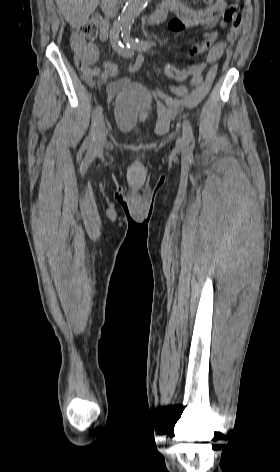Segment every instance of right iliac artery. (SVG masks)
Instances as JSON below:
<instances>
[{
  "instance_id": "right-iliac-artery-1",
  "label": "right iliac artery",
  "mask_w": 280,
  "mask_h": 472,
  "mask_svg": "<svg viewBox=\"0 0 280 472\" xmlns=\"http://www.w3.org/2000/svg\"><path fill=\"white\" fill-rule=\"evenodd\" d=\"M120 29H122V27H120L119 25H114L112 27L111 31H110V41H111L112 47L120 55H122L124 57H131L133 55V49H131L127 45L124 46L121 43V41H119V39H118V34H119ZM107 75H108V72H106V71L102 73V75H101L102 82H104L106 80ZM101 117H102V106L98 105L94 109L93 114H92V124H91L90 134L84 142V146L89 147L90 150H92L93 143H94V140H95V130H96V127H97L98 122L101 119Z\"/></svg>"
}]
</instances>
